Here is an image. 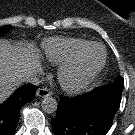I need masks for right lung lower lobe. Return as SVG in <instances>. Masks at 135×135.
Here are the masks:
<instances>
[{
	"label": "right lung lower lobe",
	"mask_w": 135,
	"mask_h": 135,
	"mask_svg": "<svg viewBox=\"0 0 135 135\" xmlns=\"http://www.w3.org/2000/svg\"><path fill=\"white\" fill-rule=\"evenodd\" d=\"M36 90L37 87L31 84L22 86L0 105V135L14 134L21 107L34 99Z\"/></svg>",
	"instance_id": "obj_1"
}]
</instances>
